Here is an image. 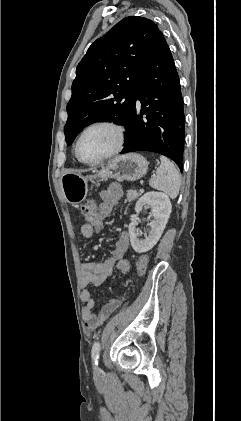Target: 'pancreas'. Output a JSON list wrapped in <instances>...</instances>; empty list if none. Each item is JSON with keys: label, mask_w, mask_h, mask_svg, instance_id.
<instances>
[{"label": "pancreas", "mask_w": 241, "mask_h": 421, "mask_svg": "<svg viewBox=\"0 0 241 421\" xmlns=\"http://www.w3.org/2000/svg\"><path fill=\"white\" fill-rule=\"evenodd\" d=\"M141 194L138 193L136 190H128L126 193L127 200L129 202L137 199Z\"/></svg>", "instance_id": "cf45deb5"}]
</instances>
